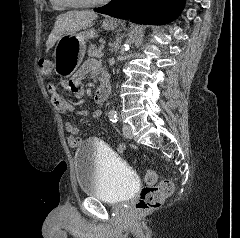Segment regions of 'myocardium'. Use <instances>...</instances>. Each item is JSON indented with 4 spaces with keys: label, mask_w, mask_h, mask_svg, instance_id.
<instances>
[{
    "label": "myocardium",
    "mask_w": 240,
    "mask_h": 238,
    "mask_svg": "<svg viewBox=\"0 0 240 238\" xmlns=\"http://www.w3.org/2000/svg\"><path fill=\"white\" fill-rule=\"evenodd\" d=\"M110 1L111 0H97L91 3H80V2H74V1H68V5L72 7H80V8H93V7L105 5Z\"/></svg>",
    "instance_id": "myocardium-1"
}]
</instances>
